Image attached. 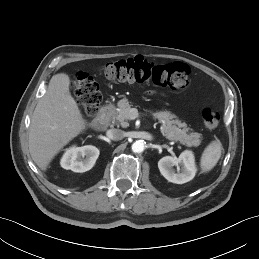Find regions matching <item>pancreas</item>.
Listing matches in <instances>:
<instances>
[{
    "mask_svg": "<svg viewBox=\"0 0 259 259\" xmlns=\"http://www.w3.org/2000/svg\"><path fill=\"white\" fill-rule=\"evenodd\" d=\"M118 111H114L112 116L116 119L122 127H127V122L130 119L131 105L128 99L123 98L118 103ZM155 118L162 124L161 133L168 140L173 142H180L182 145L188 147H197L202 141V135L197 132H190L185 122H181L179 118L170 111H156L152 113Z\"/></svg>",
    "mask_w": 259,
    "mask_h": 259,
    "instance_id": "obj_1",
    "label": "pancreas"
}]
</instances>
